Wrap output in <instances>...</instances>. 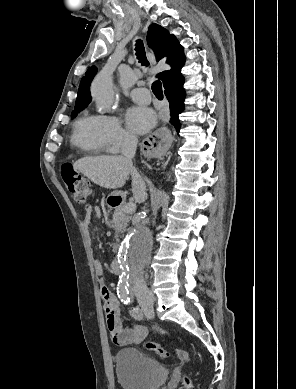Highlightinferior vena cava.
Listing matches in <instances>:
<instances>
[{
    "label": "inferior vena cava",
    "instance_id": "602c4592",
    "mask_svg": "<svg viewBox=\"0 0 296 389\" xmlns=\"http://www.w3.org/2000/svg\"><path fill=\"white\" fill-rule=\"evenodd\" d=\"M137 144V137L134 134L128 133L122 146V154L130 162H132V158L135 156ZM133 173H136L135 169ZM134 293L139 303H143L147 300H153V294L147 288L143 277H140L135 281Z\"/></svg>",
    "mask_w": 296,
    "mask_h": 389
}]
</instances>
